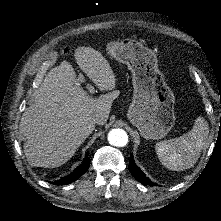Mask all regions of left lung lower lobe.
<instances>
[{"label":"left lung lower lobe","instance_id":"left-lung-lower-lobe-1","mask_svg":"<svg viewBox=\"0 0 221 221\" xmlns=\"http://www.w3.org/2000/svg\"><path fill=\"white\" fill-rule=\"evenodd\" d=\"M129 170L134 178L144 185L153 186V182L136 166L133 160V154L130 155Z\"/></svg>","mask_w":221,"mask_h":221}]
</instances>
